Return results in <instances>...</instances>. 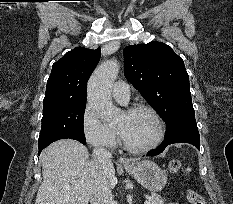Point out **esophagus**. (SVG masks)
I'll use <instances>...</instances> for the list:
<instances>
[{"label": "esophagus", "mask_w": 233, "mask_h": 204, "mask_svg": "<svg viewBox=\"0 0 233 204\" xmlns=\"http://www.w3.org/2000/svg\"><path fill=\"white\" fill-rule=\"evenodd\" d=\"M119 161L123 165H129L131 163V161L127 157H120Z\"/></svg>", "instance_id": "esophagus-1"}]
</instances>
